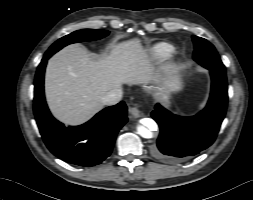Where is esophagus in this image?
Wrapping results in <instances>:
<instances>
[{
	"label": "esophagus",
	"instance_id": "obj_1",
	"mask_svg": "<svg viewBox=\"0 0 253 200\" xmlns=\"http://www.w3.org/2000/svg\"><path fill=\"white\" fill-rule=\"evenodd\" d=\"M129 113L135 117V118H138V117H141L142 116V113L141 111L138 109L137 106H133V107H130L129 108Z\"/></svg>",
	"mask_w": 253,
	"mask_h": 200
}]
</instances>
